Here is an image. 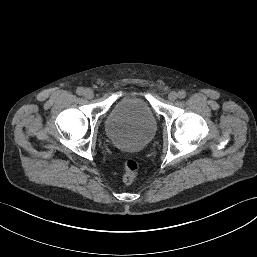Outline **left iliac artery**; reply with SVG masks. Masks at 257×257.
Returning <instances> with one entry per match:
<instances>
[{
  "instance_id": "obj_1",
  "label": "left iliac artery",
  "mask_w": 257,
  "mask_h": 257,
  "mask_svg": "<svg viewBox=\"0 0 257 257\" xmlns=\"http://www.w3.org/2000/svg\"><path fill=\"white\" fill-rule=\"evenodd\" d=\"M178 97H179L180 99L185 98V97H186V92H185L184 90L179 91V92H178Z\"/></svg>"
}]
</instances>
